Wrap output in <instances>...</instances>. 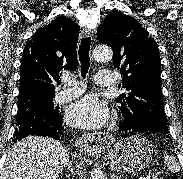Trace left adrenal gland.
I'll return each instance as SVG.
<instances>
[{
  "label": "left adrenal gland",
  "mask_w": 183,
  "mask_h": 179,
  "mask_svg": "<svg viewBox=\"0 0 183 179\" xmlns=\"http://www.w3.org/2000/svg\"><path fill=\"white\" fill-rule=\"evenodd\" d=\"M111 179H120V178L118 176H116L115 174H112Z\"/></svg>",
  "instance_id": "a2214340"
}]
</instances>
